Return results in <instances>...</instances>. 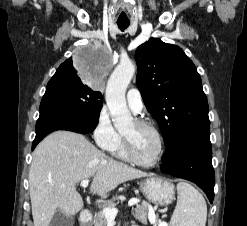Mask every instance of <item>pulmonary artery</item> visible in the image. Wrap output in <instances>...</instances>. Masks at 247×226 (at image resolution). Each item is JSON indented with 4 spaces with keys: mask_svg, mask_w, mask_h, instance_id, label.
<instances>
[{
    "mask_svg": "<svg viewBox=\"0 0 247 226\" xmlns=\"http://www.w3.org/2000/svg\"><path fill=\"white\" fill-rule=\"evenodd\" d=\"M127 103L130 109L134 113H140L143 108V101L141 97V93L136 88H131L128 90L126 95Z\"/></svg>",
    "mask_w": 247,
    "mask_h": 226,
    "instance_id": "pulmonary-artery-1",
    "label": "pulmonary artery"
}]
</instances>
